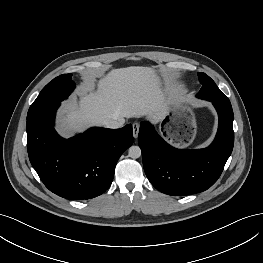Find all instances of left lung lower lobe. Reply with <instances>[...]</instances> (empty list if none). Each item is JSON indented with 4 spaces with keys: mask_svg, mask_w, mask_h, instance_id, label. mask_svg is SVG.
Listing matches in <instances>:
<instances>
[{
    "mask_svg": "<svg viewBox=\"0 0 263 263\" xmlns=\"http://www.w3.org/2000/svg\"><path fill=\"white\" fill-rule=\"evenodd\" d=\"M211 101L219 125L212 144L204 149L182 150L166 143L148 122H142L138 143L147 178L159 191L173 196L199 193L221 175L234 145L231 103Z\"/></svg>",
    "mask_w": 263,
    "mask_h": 263,
    "instance_id": "obj_1",
    "label": "left lung lower lobe"
}]
</instances>
